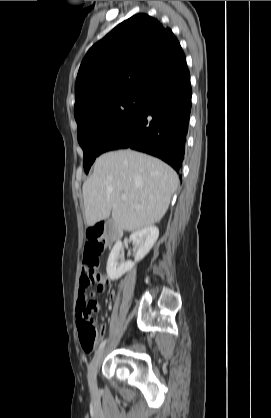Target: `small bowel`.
<instances>
[{
  "mask_svg": "<svg viewBox=\"0 0 271 418\" xmlns=\"http://www.w3.org/2000/svg\"><path fill=\"white\" fill-rule=\"evenodd\" d=\"M89 272H90L89 262L87 260H84L81 277H80V291L78 295L79 300L77 302L78 319L80 317V314H95L96 310L99 308V306L97 305L96 299H85L84 305H82L83 303L82 294L86 293L85 289L90 285V283L86 282V279L89 277ZM94 282H96L98 286H97V290L91 293L92 297H96L97 295L103 293L105 290V285L108 281L105 278V276L99 274L95 277L93 283ZM109 295H110V298L113 297L112 292H110Z\"/></svg>",
  "mask_w": 271,
  "mask_h": 418,
  "instance_id": "obj_1",
  "label": "small bowel"
}]
</instances>
